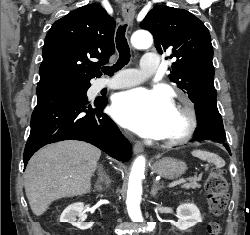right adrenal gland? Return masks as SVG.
<instances>
[{
  "instance_id": "right-adrenal-gland-1",
  "label": "right adrenal gland",
  "mask_w": 250,
  "mask_h": 235,
  "mask_svg": "<svg viewBox=\"0 0 250 235\" xmlns=\"http://www.w3.org/2000/svg\"><path fill=\"white\" fill-rule=\"evenodd\" d=\"M97 172H98V176L99 179L97 180V182L94 184V189L96 191H103V186H102V181L105 180L106 184H109V177L107 176L106 172L104 171L103 166L100 164L97 166Z\"/></svg>"
}]
</instances>
